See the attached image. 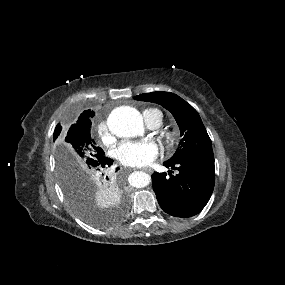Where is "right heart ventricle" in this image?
Wrapping results in <instances>:
<instances>
[{"mask_svg": "<svg viewBox=\"0 0 285 285\" xmlns=\"http://www.w3.org/2000/svg\"><path fill=\"white\" fill-rule=\"evenodd\" d=\"M144 117L146 123L149 122H158L159 124L162 121V113L158 109L151 108L144 112Z\"/></svg>", "mask_w": 285, "mask_h": 285, "instance_id": "right-heart-ventricle-1", "label": "right heart ventricle"}]
</instances>
